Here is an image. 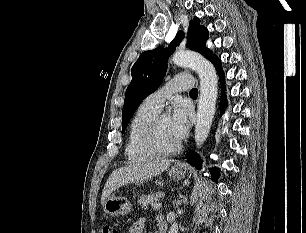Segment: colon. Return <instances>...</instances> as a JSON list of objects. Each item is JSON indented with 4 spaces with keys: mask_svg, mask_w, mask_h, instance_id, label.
Returning <instances> with one entry per match:
<instances>
[{
    "mask_svg": "<svg viewBox=\"0 0 306 233\" xmlns=\"http://www.w3.org/2000/svg\"><path fill=\"white\" fill-rule=\"evenodd\" d=\"M100 233H118L116 228L110 223L102 224Z\"/></svg>",
    "mask_w": 306,
    "mask_h": 233,
    "instance_id": "colon-1",
    "label": "colon"
}]
</instances>
